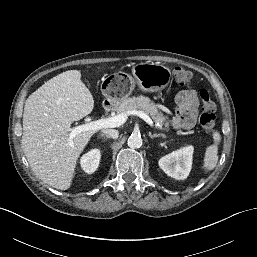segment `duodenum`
Listing matches in <instances>:
<instances>
[{
  "label": "duodenum",
  "mask_w": 257,
  "mask_h": 257,
  "mask_svg": "<svg viewBox=\"0 0 257 257\" xmlns=\"http://www.w3.org/2000/svg\"><path fill=\"white\" fill-rule=\"evenodd\" d=\"M110 107H111V106H110L109 104H107V105L105 106V109H106V110H109Z\"/></svg>",
  "instance_id": "obj_1"
}]
</instances>
